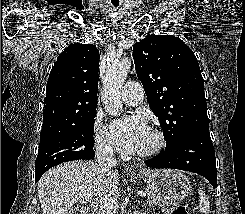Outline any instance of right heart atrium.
I'll use <instances>...</instances> for the list:
<instances>
[{
	"label": "right heart atrium",
	"mask_w": 245,
	"mask_h": 214,
	"mask_svg": "<svg viewBox=\"0 0 245 214\" xmlns=\"http://www.w3.org/2000/svg\"><path fill=\"white\" fill-rule=\"evenodd\" d=\"M94 141L99 154L103 156L113 155L114 146L109 131L100 120H96L94 124Z\"/></svg>",
	"instance_id": "right-heart-atrium-1"
}]
</instances>
